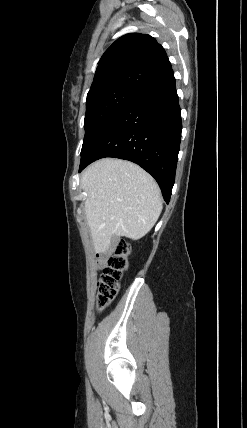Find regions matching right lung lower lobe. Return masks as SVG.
<instances>
[{"label": "right lung lower lobe", "mask_w": 247, "mask_h": 428, "mask_svg": "<svg viewBox=\"0 0 247 428\" xmlns=\"http://www.w3.org/2000/svg\"><path fill=\"white\" fill-rule=\"evenodd\" d=\"M181 130L179 99L171 70L142 90L106 124L81 156L79 172L104 157L132 161L155 178L168 203Z\"/></svg>", "instance_id": "obj_1"}]
</instances>
